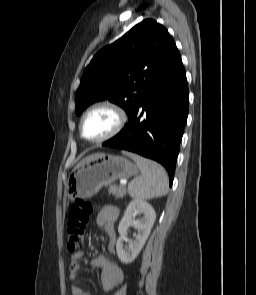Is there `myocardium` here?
Listing matches in <instances>:
<instances>
[{
	"mask_svg": "<svg viewBox=\"0 0 256 295\" xmlns=\"http://www.w3.org/2000/svg\"><path fill=\"white\" fill-rule=\"evenodd\" d=\"M99 108H106L114 113L115 118H116L115 125L108 134H106L100 138H97V139H88L84 136V133H83L84 121L91 112H93ZM125 122H126V114L123 111V109L120 108L117 104H115L112 101L103 100V101H99V102L93 104L83 113V115L80 119V123H79V132H80L81 137L84 140H86L87 142H90L93 144H98V143L105 142V141L113 138L114 136H116L122 130Z\"/></svg>",
	"mask_w": 256,
	"mask_h": 295,
	"instance_id": "f54148a6",
	"label": "myocardium"
}]
</instances>
